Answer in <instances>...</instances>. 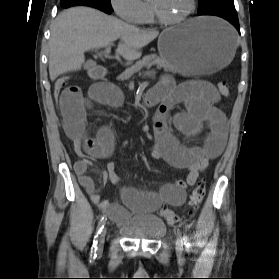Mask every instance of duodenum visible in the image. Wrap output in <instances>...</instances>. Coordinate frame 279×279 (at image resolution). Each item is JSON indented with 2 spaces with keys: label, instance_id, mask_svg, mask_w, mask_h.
I'll return each instance as SVG.
<instances>
[{
  "label": "duodenum",
  "instance_id": "duodenum-1",
  "mask_svg": "<svg viewBox=\"0 0 279 279\" xmlns=\"http://www.w3.org/2000/svg\"><path fill=\"white\" fill-rule=\"evenodd\" d=\"M107 75V70L103 66H96L90 70V76L93 79L100 80ZM157 101L155 99L149 97L148 95L145 97L143 104L145 106H153Z\"/></svg>",
  "mask_w": 279,
  "mask_h": 279
}]
</instances>
